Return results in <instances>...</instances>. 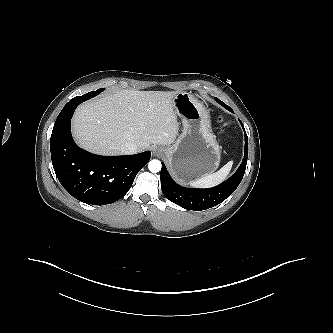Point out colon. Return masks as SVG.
I'll return each instance as SVG.
<instances>
[{
  "label": "colon",
  "mask_w": 333,
  "mask_h": 333,
  "mask_svg": "<svg viewBox=\"0 0 333 333\" xmlns=\"http://www.w3.org/2000/svg\"><path fill=\"white\" fill-rule=\"evenodd\" d=\"M220 120L223 122V126L225 128H230L231 127V122L230 121L225 120L223 117H221Z\"/></svg>",
  "instance_id": "5ec220e1"
}]
</instances>
